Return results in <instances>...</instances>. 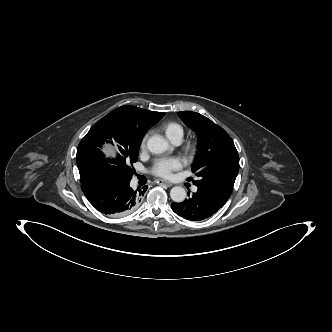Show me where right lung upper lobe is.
<instances>
[{
	"mask_svg": "<svg viewBox=\"0 0 332 332\" xmlns=\"http://www.w3.org/2000/svg\"><path fill=\"white\" fill-rule=\"evenodd\" d=\"M122 110L126 111L131 117L142 120H154L156 123L165 115L163 112H153L137 108L135 106H122Z\"/></svg>",
	"mask_w": 332,
	"mask_h": 332,
	"instance_id": "1",
	"label": "right lung upper lobe"
}]
</instances>
